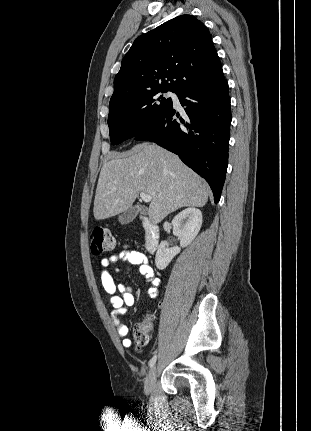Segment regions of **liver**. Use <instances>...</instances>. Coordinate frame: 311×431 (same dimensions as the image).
Returning <instances> with one entry per match:
<instances>
[{
	"label": "liver",
	"instance_id": "1",
	"mask_svg": "<svg viewBox=\"0 0 311 431\" xmlns=\"http://www.w3.org/2000/svg\"><path fill=\"white\" fill-rule=\"evenodd\" d=\"M139 192L151 196L148 216L151 223H159L179 208H203L210 188L178 156L143 142L103 164L94 198L95 219L127 212Z\"/></svg>",
	"mask_w": 311,
	"mask_h": 431
}]
</instances>
